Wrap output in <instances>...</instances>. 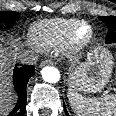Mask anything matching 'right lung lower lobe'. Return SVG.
Segmentation results:
<instances>
[{
    "label": "right lung lower lobe",
    "mask_w": 116,
    "mask_h": 116,
    "mask_svg": "<svg viewBox=\"0 0 116 116\" xmlns=\"http://www.w3.org/2000/svg\"><path fill=\"white\" fill-rule=\"evenodd\" d=\"M34 75V66L26 65L21 68H14L13 84L18 95V101L15 108L8 116H24L26 112L27 92L26 86L28 80Z\"/></svg>",
    "instance_id": "98d812e1"
}]
</instances>
